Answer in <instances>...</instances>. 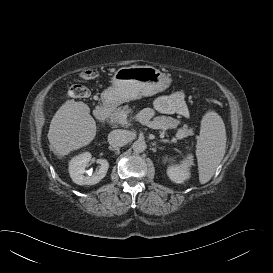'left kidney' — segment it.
Listing matches in <instances>:
<instances>
[{
	"instance_id": "obj_1",
	"label": "left kidney",
	"mask_w": 273,
	"mask_h": 273,
	"mask_svg": "<svg viewBox=\"0 0 273 273\" xmlns=\"http://www.w3.org/2000/svg\"><path fill=\"white\" fill-rule=\"evenodd\" d=\"M193 164V157L189 155L181 165H173L168 167L167 175L175 183H183L189 179L190 171L189 167Z\"/></svg>"
}]
</instances>
